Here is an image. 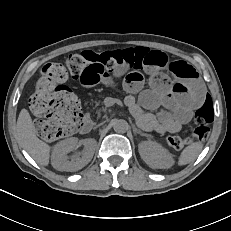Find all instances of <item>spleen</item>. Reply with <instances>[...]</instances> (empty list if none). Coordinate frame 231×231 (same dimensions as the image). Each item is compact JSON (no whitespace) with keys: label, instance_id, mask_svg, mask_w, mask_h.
I'll return each mask as SVG.
<instances>
[{"label":"spleen","instance_id":"spleen-1","mask_svg":"<svg viewBox=\"0 0 231 231\" xmlns=\"http://www.w3.org/2000/svg\"><path fill=\"white\" fill-rule=\"evenodd\" d=\"M203 144L201 142H194L187 146L180 154L178 165H186L194 161L202 151Z\"/></svg>","mask_w":231,"mask_h":231}]
</instances>
